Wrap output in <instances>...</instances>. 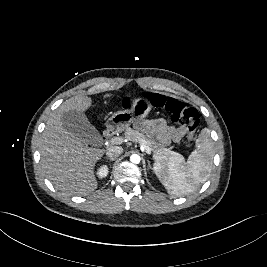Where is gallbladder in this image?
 Returning a JSON list of instances; mask_svg holds the SVG:
<instances>
[{
    "label": "gallbladder",
    "mask_w": 267,
    "mask_h": 267,
    "mask_svg": "<svg viewBox=\"0 0 267 267\" xmlns=\"http://www.w3.org/2000/svg\"><path fill=\"white\" fill-rule=\"evenodd\" d=\"M63 127L74 136L86 141L92 146H101L102 136L89 122L83 112L70 110L62 117Z\"/></svg>",
    "instance_id": "obj_1"
}]
</instances>
